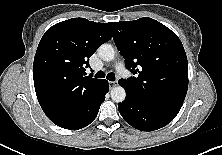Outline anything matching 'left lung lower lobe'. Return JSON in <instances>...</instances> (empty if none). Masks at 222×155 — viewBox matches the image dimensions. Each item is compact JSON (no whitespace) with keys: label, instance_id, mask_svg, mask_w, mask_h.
<instances>
[{"label":"left lung lower lobe","instance_id":"0a47b994","mask_svg":"<svg viewBox=\"0 0 222 155\" xmlns=\"http://www.w3.org/2000/svg\"><path fill=\"white\" fill-rule=\"evenodd\" d=\"M118 109L128 124L141 131L162 128L179 112L177 109L145 100L127 91L125 100L118 103Z\"/></svg>","mask_w":222,"mask_h":155}]
</instances>
